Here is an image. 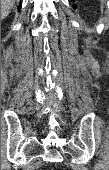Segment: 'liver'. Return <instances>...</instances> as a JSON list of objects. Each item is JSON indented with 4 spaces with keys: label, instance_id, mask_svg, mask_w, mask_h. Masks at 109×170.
Returning a JSON list of instances; mask_svg holds the SVG:
<instances>
[{
    "label": "liver",
    "instance_id": "liver-1",
    "mask_svg": "<svg viewBox=\"0 0 109 170\" xmlns=\"http://www.w3.org/2000/svg\"><path fill=\"white\" fill-rule=\"evenodd\" d=\"M15 0H1V18L4 19L9 15Z\"/></svg>",
    "mask_w": 109,
    "mask_h": 170
}]
</instances>
